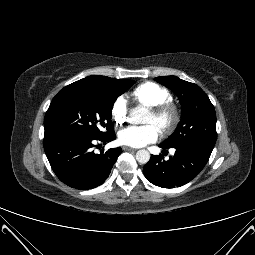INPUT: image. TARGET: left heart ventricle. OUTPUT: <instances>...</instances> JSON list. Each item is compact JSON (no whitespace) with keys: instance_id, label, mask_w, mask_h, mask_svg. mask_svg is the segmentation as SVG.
Segmentation results:
<instances>
[{"instance_id":"left-heart-ventricle-1","label":"left heart ventricle","mask_w":255,"mask_h":255,"mask_svg":"<svg viewBox=\"0 0 255 255\" xmlns=\"http://www.w3.org/2000/svg\"><path fill=\"white\" fill-rule=\"evenodd\" d=\"M145 123L154 124L157 127H159V121L151 110L149 111L148 115L145 118Z\"/></svg>"}]
</instances>
